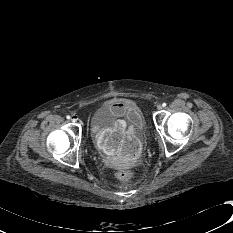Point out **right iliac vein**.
Segmentation results:
<instances>
[{
  "mask_svg": "<svg viewBox=\"0 0 233 233\" xmlns=\"http://www.w3.org/2000/svg\"><path fill=\"white\" fill-rule=\"evenodd\" d=\"M73 122H77V118L76 117H72L71 119Z\"/></svg>",
  "mask_w": 233,
  "mask_h": 233,
  "instance_id": "obj_1",
  "label": "right iliac vein"
}]
</instances>
